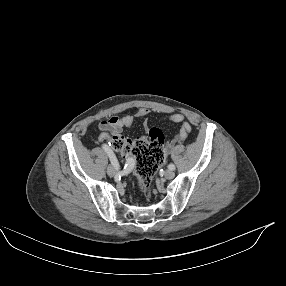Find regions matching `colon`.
Returning a JSON list of instances; mask_svg holds the SVG:
<instances>
[{
	"label": "colon",
	"mask_w": 286,
	"mask_h": 286,
	"mask_svg": "<svg viewBox=\"0 0 286 286\" xmlns=\"http://www.w3.org/2000/svg\"><path fill=\"white\" fill-rule=\"evenodd\" d=\"M109 144L115 152L136 159L139 191L148 194L152 177L165 158L163 131L154 127L149 130L148 136L135 139L116 134L111 136Z\"/></svg>",
	"instance_id": "1"
}]
</instances>
